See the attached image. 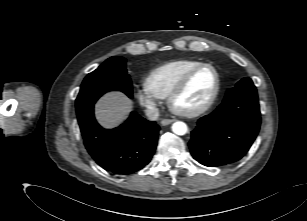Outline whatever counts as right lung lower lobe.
<instances>
[{
  "mask_svg": "<svg viewBox=\"0 0 307 221\" xmlns=\"http://www.w3.org/2000/svg\"><path fill=\"white\" fill-rule=\"evenodd\" d=\"M84 145L95 162L117 175L146 166L156 149L159 126L132 112L124 124L106 130L94 118L93 106L78 115Z\"/></svg>",
  "mask_w": 307,
  "mask_h": 221,
  "instance_id": "right-lung-lower-lobe-1",
  "label": "right lung lower lobe"
}]
</instances>
